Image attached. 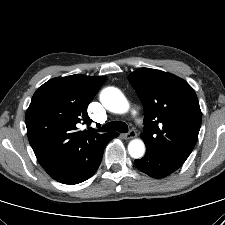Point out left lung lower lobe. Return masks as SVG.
Listing matches in <instances>:
<instances>
[{"label":"left lung lower lobe","instance_id":"left-lung-lower-lobe-1","mask_svg":"<svg viewBox=\"0 0 225 225\" xmlns=\"http://www.w3.org/2000/svg\"><path fill=\"white\" fill-rule=\"evenodd\" d=\"M134 163L139 170L153 178L166 177L183 164V162L149 147H146L145 156L135 160Z\"/></svg>","mask_w":225,"mask_h":225}]
</instances>
